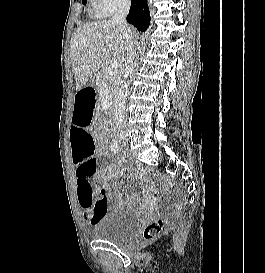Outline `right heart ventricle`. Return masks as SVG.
I'll list each match as a JSON object with an SVG mask.
<instances>
[{"instance_id":"e07e8e85","label":"right heart ventricle","mask_w":265,"mask_h":273,"mask_svg":"<svg viewBox=\"0 0 265 273\" xmlns=\"http://www.w3.org/2000/svg\"><path fill=\"white\" fill-rule=\"evenodd\" d=\"M94 15H95V16H100V15H97V14L95 13V11H94Z\"/></svg>"}]
</instances>
